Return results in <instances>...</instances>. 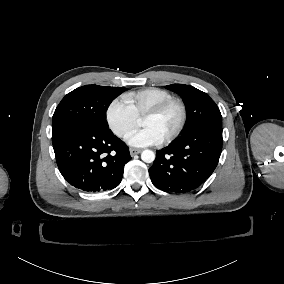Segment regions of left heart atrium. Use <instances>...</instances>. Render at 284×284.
<instances>
[{"label":"left heart atrium","instance_id":"39dd6f15","mask_svg":"<svg viewBox=\"0 0 284 284\" xmlns=\"http://www.w3.org/2000/svg\"><path fill=\"white\" fill-rule=\"evenodd\" d=\"M126 142L132 147H146L158 145L161 139L152 129L144 127L131 131L126 137Z\"/></svg>","mask_w":284,"mask_h":284}]
</instances>
